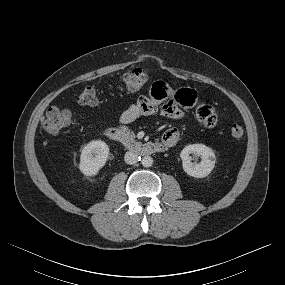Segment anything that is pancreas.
<instances>
[{
	"label": "pancreas",
	"instance_id": "cf45deb5",
	"mask_svg": "<svg viewBox=\"0 0 285 285\" xmlns=\"http://www.w3.org/2000/svg\"><path fill=\"white\" fill-rule=\"evenodd\" d=\"M129 141L132 143V144H137V141L135 140V136L133 134H131L129 136Z\"/></svg>",
	"mask_w": 285,
	"mask_h": 285
}]
</instances>
